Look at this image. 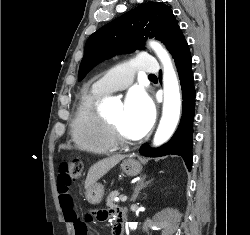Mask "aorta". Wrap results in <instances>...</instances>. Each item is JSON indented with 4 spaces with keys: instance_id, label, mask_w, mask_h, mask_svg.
<instances>
[{
    "instance_id": "1",
    "label": "aorta",
    "mask_w": 250,
    "mask_h": 235,
    "mask_svg": "<svg viewBox=\"0 0 250 235\" xmlns=\"http://www.w3.org/2000/svg\"><path fill=\"white\" fill-rule=\"evenodd\" d=\"M151 48L156 52L164 67L163 89L164 104L163 113L158 129L154 136V145L165 143L173 134L180 117L181 98L178 79L173 69L168 52L157 42H150ZM131 230L137 228L136 222H130Z\"/></svg>"
}]
</instances>
